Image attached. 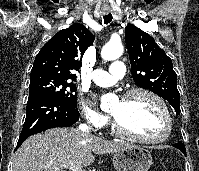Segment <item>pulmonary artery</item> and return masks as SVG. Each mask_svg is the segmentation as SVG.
<instances>
[{
  "instance_id": "e3ab8cb5",
  "label": "pulmonary artery",
  "mask_w": 199,
  "mask_h": 171,
  "mask_svg": "<svg viewBox=\"0 0 199 171\" xmlns=\"http://www.w3.org/2000/svg\"><path fill=\"white\" fill-rule=\"evenodd\" d=\"M125 66L121 61H113L110 65L109 71L101 69L94 70L92 73V80L95 84L103 87L113 85L118 79L124 76Z\"/></svg>"
}]
</instances>
